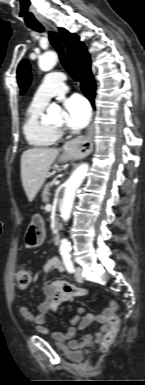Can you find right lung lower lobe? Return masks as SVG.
<instances>
[{"label": "right lung lower lobe", "instance_id": "right-lung-lower-lobe-1", "mask_svg": "<svg viewBox=\"0 0 145 385\" xmlns=\"http://www.w3.org/2000/svg\"><path fill=\"white\" fill-rule=\"evenodd\" d=\"M81 78V89L84 95L90 100L92 105H94L95 98V82L93 80V75L91 71V66L85 67L79 72Z\"/></svg>", "mask_w": 145, "mask_h": 385}]
</instances>
